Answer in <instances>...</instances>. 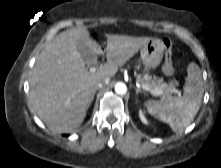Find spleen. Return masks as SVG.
I'll return each mask as SVG.
<instances>
[{"label":"spleen","instance_id":"obj_1","mask_svg":"<svg viewBox=\"0 0 221 168\" xmlns=\"http://www.w3.org/2000/svg\"><path fill=\"white\" fill-rule=\"evenodd\" d=\"M187 74L183 96L145 102L148 113L169 124L174 132H181L190 125L202 103L204 84L199 66L190 63Z\"/></svg>","mask_w":221,"mask_h":168}]
</instances>
